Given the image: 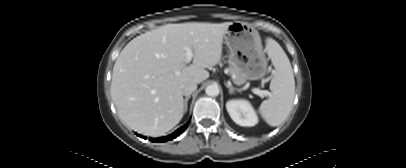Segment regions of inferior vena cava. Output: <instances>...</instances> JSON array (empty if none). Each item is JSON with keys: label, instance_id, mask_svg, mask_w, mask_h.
I'll list each match as a JSON object with an SVG mask.
<instances>
[{"label": "inferior vena cava", "instance_id": "obj_1", "mask_svg": "<svg viewBox=\"0 0 406 168\" xmlns=\"http://www.w3.org/2000/svg\"><path fill=\"white\" fill-rule=\"evenodd\" d=\"M197 89V83L191 81L187 82L183 85L182 87V93L184 96H189L192 92H194Z\"/></svg>", "mask_w": 406, "mask_h": 168}]
</instances>
